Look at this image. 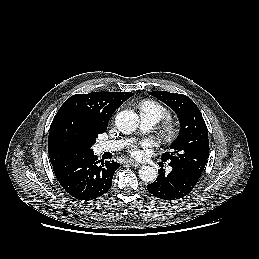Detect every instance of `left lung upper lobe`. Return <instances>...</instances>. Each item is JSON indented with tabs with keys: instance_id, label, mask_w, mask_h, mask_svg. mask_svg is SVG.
<instances>
[{
	"instance_id": "left-lung-upper-lobe-1",
	"label": "left lung upper lobe",
	"mask_w": 259,
	"mask_h": 259,
	"mask_svg": "<svg viewBox=\"0 0 259 259\" xmlns=\"http://www.w3.org/2000/svg\"><path fill=\"white\" fill-rule=\"evenodd\" d=\"M150 95L171 107L180 121V133L170 146L171 151L162 154V161L177 163L201 176L209 156L208 129L196 104L186 95L166 91H153Z\"/></svg>"
}]
</instances>
